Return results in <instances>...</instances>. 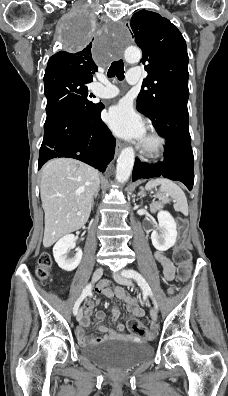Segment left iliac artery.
Listing matches in <instances>:
<instances>
[{
  "label": "left iliac artery",
  "instance_id": "left-iliac-artery-1",
  "mask_svg": "<svg viewBox=\"0 0 228 396\" xmlns=\"http://www.w3.org/2000/svg\"><path fill=\"white\" fill-rule=\"evenodd\" d=\"M122 275L127 277V278L134 279L138 283V285L141 287L143 292L146 295H149L152 298L154 306L158 310V305H157V302H156V300H155V298L153 296L151 288H150V286L148 285V283L146 282V280L143 278V276L140 273H138L137 271H135L133 269H129V270H124L122 272Z\"/></svg>",
  "mask_w": 228,
  "mask_h": 396
}]
</instances>
